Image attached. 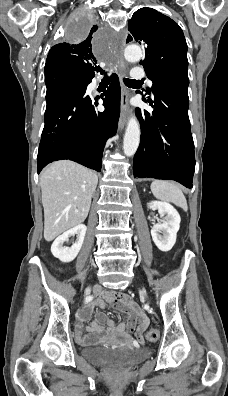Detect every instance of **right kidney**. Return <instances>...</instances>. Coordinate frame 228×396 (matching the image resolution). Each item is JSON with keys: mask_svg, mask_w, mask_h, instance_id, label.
<instances>
[{"mask_svg": "<svg viewBox=\"0 0 228 396\" xmlns=\"http://www.w3.org/2000/svg\"><path fill=\"white\" fill-rule=\"evenodd\" d=\"M86 230L87 228L85 225L79 224L56 238L51 246L53 256L64 263L73 261L82 247ZM74 235L77 236L76 242L71 247L63 246L64 242L68 241V239Z\"/></svg>", "mask_w": 228, "mask_h": 396, "instance_id": "1", "label": "right kidney"}]
</instances>
